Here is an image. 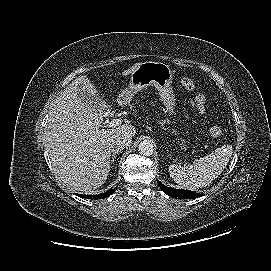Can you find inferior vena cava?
I'll return each instance as SVG.
<instances>
[{"instance_id":"1","label":"inferior vena cava","mask_w":271,"mask_h":271,"mask_svg":"<svg viewBox=\"0 0 271 271\" xmlns=\"http://www.w3.org/2000/svg\"><path fill=\"white\" fill-rule=\"evenodd\" d=\"M131 141L132 136L128 132H120L113 137L114 144L119 148L127 147L131 144Z\"/></svg>"}]
</instances>
